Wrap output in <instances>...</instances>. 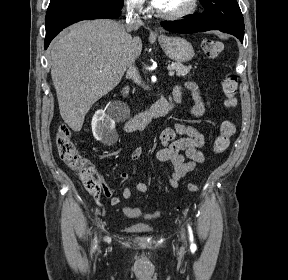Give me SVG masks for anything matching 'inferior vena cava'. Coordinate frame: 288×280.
I'll return each instance as SVG.
<instances>
[{
	"label": "inferior vena cava",
	"mask_w": 288,
	"mask_h": 280,
	"mask_svg": "<svg viewBox=\"0 0 288 280\" xmlns=\"http://www.w3.org/2000/svg\"><path fill=\"white\" fill-rule=\"evenodd\" d=\"M136 7L137 6H132V5L127 7L126 27L129 31L136 29L142 25V20L139 14L135 12ZM134 63H135L134 58H131L130 64L128 66L127 76L132 78L135 83L141 84V78L139 76V72L137 68L135 67ZM151 103L155 104L156 100L152 99Z\"/></svg>",
	"instance_id": "602c4592"
}]
</instances>
